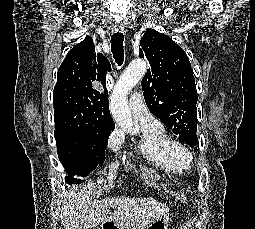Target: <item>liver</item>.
Returning <instances> with one entry per match:
<instances>
[{
	"label": "liver",
	"instance_id": "obj_1",
	"mask_svg": "<svg viewBox=\"0 0 255 229\" xmlns=\"http://www.w3.org/2000/svg\"><path fill=\"white\" fill-rule=\"evenodd\" d=\"M96 184L88 182L72 187L69 198L61 208V224L64 229H91L104 222H112L123 229H144L153 220L169 212L166 204L152 197L128 196L95 198ZM110 208L114 212L109 215Z\"/></svg>",
	"mask_w": 255,
	"mask_h": 229
}]
</instances>
